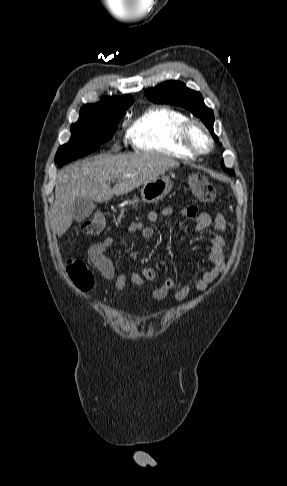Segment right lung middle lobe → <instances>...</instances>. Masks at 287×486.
I'll list each match as a JSON object with an SVG mask.
<instances>
[{"instance_id":"dd1d6c3e","label":"right lung middle lobe","mask_w":287,"mask_h":486,"mask_svg":"<svg viewBox=\"0 0 287 486\" xmlns=\"http://www.w3.org/2000/svg\"><path fill=\"white\" fill-rule=\"evenodd\" d=\"M125 113H109L102 110L80 111L79 120L71 125L70 141L59 147L55 162L59 166L89 154L109 140Z\"/></svg>"}]
</instances>
